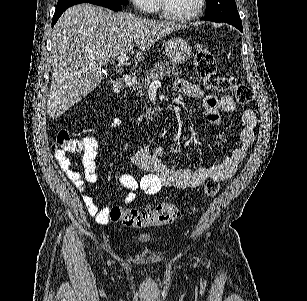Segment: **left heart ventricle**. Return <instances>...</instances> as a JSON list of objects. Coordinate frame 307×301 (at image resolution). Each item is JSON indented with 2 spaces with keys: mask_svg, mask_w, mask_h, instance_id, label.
Returning <instances> with one entry per match:
<instances>
[{
  "mask_svg": "<svg viewBox=\"0 0 307 301\" xmlns=\"http://www.w3.org/2000/svg\"><path fill=\"white\" fill-rule=\"evenodd\" d=\"M165 3L170 13H185L195 11L197 0H165Z\"/></svg>",
  "mask_w": 307,
  "mask_h": 301,
  "instance_id": "obj_1",
  "label": "left heart ventricle"
}]
</instances>
